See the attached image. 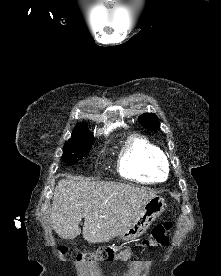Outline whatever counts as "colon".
Segmentation results:
<instances>
[{"label":"colon","instance_id":"obj_1","mask_svg":"<svg viewBox=\"0 0 221 276\" xmlns=\"http://www.w3.org/2000/svg\"><path fill=\"white\" fill-rule=\"evenodd\" d=\"M172 223L169 221L157 224L152 229L149 237L142 242H131L130 244H120V246L100 245V248L93 253L79 254L78 260L98 261V262H113L116 261L121 254L130 253L133 247H157L167 246L169 243ZM62 253L66 250L62 249Z\"/></svg>","mask_w":221,"mask_h":276}]
</instances>
